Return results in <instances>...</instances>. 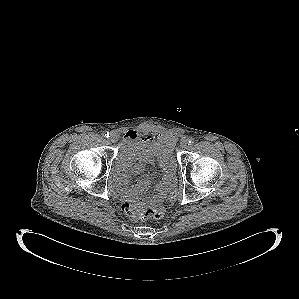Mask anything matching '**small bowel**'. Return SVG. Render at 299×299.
I'll return each instance as SVG.
<instances>
[{
  "instance_id": "small-bowel-1",
  "label": "small bowel",
  "mask_w": 299,
  "mask_h": 299,
  "mask_svg": "<svg viewBox=\"0 0 299 299\" xmlns=\"http://www.w3.org/2000/svg\"><path fill=\"white\" fill-rule=\"evenodd\" d=\"M170 140L172 137H168ZM125 139L136 143L133 151L128 153L123 161V170L125 174L120 181L121 191L128 199H134L138 194L146 192L151 184V177L145 176L140 179L134 188L128 185L127 171L130 169L134 174H141L146 165L155 162V154L153 152V144L156 140L155 136L139 134L135 131H128ZM158 165L164 173L162 180L157 184L153 201H162L169 190L175 183V160L173 157H158Z\"/></svg>"
}]
</instances>
